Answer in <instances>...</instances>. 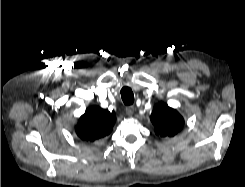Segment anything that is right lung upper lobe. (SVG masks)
Returning a JSON list of instances; mask_svg holds the SVG:
<instances>
[{
  "label": "right lung upper lobe",
  "instance_id": "1",
  "mask_svg": "<svg viewBox=\"0 0 245 187\" xmlns=\"http://www.w3.org/2000/svg\"><path fill=\"white\" fill-rule=\"evenodd\" d=\"M115 120L113 113L93 106L80 117L75 131L81 139L93 142L109 135Z\"/></svg>",
  "mask_w": 245,
  "mask_h": 187
}]
</instances>
